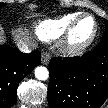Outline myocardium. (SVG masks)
<instances>
[{
	"mask_svg": "<svg viewBox=\"0 0 108 108\" xmlns=\"http://www.w3.org/2000/svg\"><path fill=\"white\" fill-rule=\"evenodd\" d=\"M91 20L92 22V30L90 34L83 40H76L75 39V32L78 26L84 20ZM98 30V25L94 17L91 15H81L77 17L65 30V33L62 37L60 42V46L62 50L68 54H77L85 50L95 39Z\"/></svg>",
	"mask_w": 108,
	"mask_h": 108,
	"instance_id": "obj_1",
	"label": "myocardium"
}]
</instances>
